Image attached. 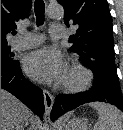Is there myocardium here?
<instances>
[{
  "label": "myocardium",
  "mask_w": 123,
  "mask_h": 130,
  "mask_svg": "<svg viewBox=\"0 0 123 130\" xmlns=\"http://www.w3.org/2000/svg\"><path fill=\"white\" fill-rule=\"evenodd\" d=\"M75 74L77 79H69L66 75ZM65 77L60 82V87L70 93L81 92L88 89L93 82L92 71L81 63H73L67 70Z\"/></svg>",
  "instance_id": "1"
}]
</instances>
